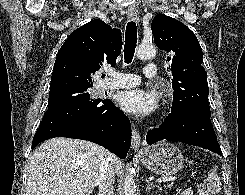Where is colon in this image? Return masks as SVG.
Returning a JSON list of instances; mask_svg holds the SVG:
<instances>
[{
  "mask_svg": "<svg viewBox=\"0 0 245 195\" xmlns=\"http://www.w3.org/2000/svg\"><path fill=\"white\" fill-rule=\"evenodd\" d=\"M199 195H220L221 187L219 178L209 172H205L203 182L199 186Z\"/></svg>",
  "mask_w": 245,
  "mask_h": 195,
  "instance_id": "1",
  "label": "colon"
}]
</instances>
